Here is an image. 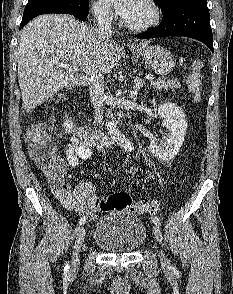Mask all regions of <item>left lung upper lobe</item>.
<instances>
[{"label": "left lung upper lobe", "mask_w": 233, "mask_h": 294, "mask_svg": "<svg viewBox=\"0 0 233 294\" xmlns=\"http://www.w3.org/2000/svg\"><path fill=\"white\" fill-rule=\"evenodd\" d=\"M181 1V0H154L156 4H158L163 11H166L170 6H172L174 3ZM207 2V0H199Z\"/></svg>", "instance_id": "5c2ea615"}]
</instances>
